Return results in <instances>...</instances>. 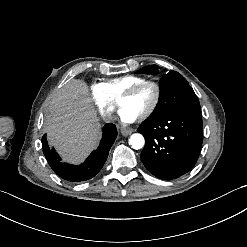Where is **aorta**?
Masks as SVG:
<instances>
[{"label":"aorta","instance_id":"762f6f07","mask_svg":"<svg viewBox=\"0 0 247 247\" xmlns=\"http://www.w3.org/2000/svg\"><path fill=\"white\" fill-rule=\"evenodd\" d=\"M145 144V140L144 137L139 134V133H135L133 135H131L130 139H129V145H131V147L133 149H141Z\"/></svg>","mask_w":247,"mask_h":247}]
</instances>
